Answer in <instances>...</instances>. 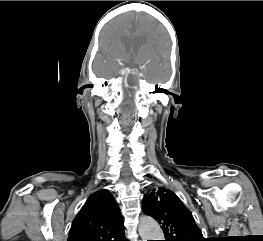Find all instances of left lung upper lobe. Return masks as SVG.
I'll return each instance as SVG.
<instances>
[{
    "label": "left lung upper lobe",
    "instance_id": "left-lung-upper-lobe-1",
    "mask_svg": "<svg viewBox=\"0 0 263 241\" xmlns=\"http://www.w3.org/2000/svg\"><path fill=\"white\" fill-rule=\"evenodd\" d=\"M143 211L161 225L165 241H204L192 213L169 189H153L143 200Z\"/></svg>",
    "mask_w": 263,
    "mask_h": 241
}]
</instances>
